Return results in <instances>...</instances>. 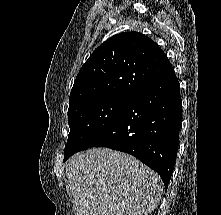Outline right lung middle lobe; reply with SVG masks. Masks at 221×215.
Segmentation results:
<instances>
[{"label":"right lung middle lobe","instance_id":"right-lung-middle-lobe-1","mask_svg":"<svg viewBox=\"0 0 221 215\" xmlns=\"http://www.w3.org/2000/svg\"><path fill=\"white\" fill-rule=\"evenodd\" d=\"M131 97L111 94L70 105V133L64 150V161L90 147L116 120Z\"/></svg>","mask_w":221,"mask_h":215}]
</instances>
